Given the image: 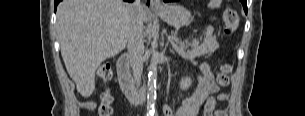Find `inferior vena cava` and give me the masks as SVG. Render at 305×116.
<instances>
[{
    "label": "inferior vena cava",
    "instance_id": "obj_1",
    "mask_svg": "<svg viewBox=\"0 0 305 116\" xmlns=\"http://www.w3.org/2000/svg\"><path fill=\"white\" fill-rule=\"evenodd\" d=\"M133 9L136 15L130 22L127 36V50L130 59V65L132 68L134 80L139 87L142 76V54H143V23L138 14L143 9V5L140 0L135 1Z\"/></svg>",
    "mask_w": 305,
    "mask_h": 116
}]
</instances>
